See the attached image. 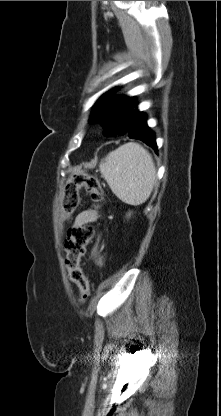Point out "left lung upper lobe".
<instances>
[{
    "mask_svg": "<svg viewBox=\"0 0 221 416\" xmlns=\"http://www.w3.org/2000/svg\"><path fill=\"white\" fill-rule=\"evenodd\" d=\"M114 91L115 89L100 97L89 119L91 124L102 123L104 132L108 136L127 134L137 111L135 109L137 103L133 97L117 96L110 99Z\"/></svg>",
    "mask_w": 221,
    "mask_h": 416,
    "instance_id": "5c2ea615",
    "label": "left lung upper lobe"
}]
</instances>
